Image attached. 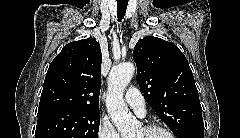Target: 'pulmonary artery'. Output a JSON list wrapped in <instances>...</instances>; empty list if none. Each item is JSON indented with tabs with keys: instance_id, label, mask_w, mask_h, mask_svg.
<instances>
[{
	"instance_id": "e3ab8cb5",
	"label": "pulmonary artery",
	"mask_w": 240,
	"mask_h": 138,
	"mask_svg": "<svg viewBox=\"0 0 240 138\" xmlns=\"http://www.w3.org/2000/svg\"><path fill=\"white\" fill-rule=\"evenodd\" d=\"M125 101L138 115L144 116L146 113L145 100L136 88H129L125 94Z\"/></svg>"
}]
</instances>
